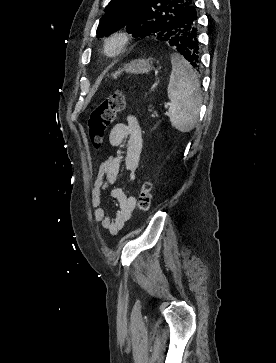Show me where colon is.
I'll return each instance as SVG.
<instances>
[{
    "label": "colon",
    "instance_id": "1",
    "mask_svg": "<svg viewBox=\"0 0 276 363\" xmlns=\"http://www.w3.org/2000/svg\"><path fill=\"white\" fill-rule=\"evenodd\" d=\"M125 107V94L123 91H115L104 99L91 112L88 119V131L91 142L95 147H99L104 139L108 127L114 122L117 113ZM152 204V185L145 181L140 188L137 205L142 211L150 209Z\"/></svg>",
    "mask_w": 276,
    "mask_h": 363
}]
</instances>
